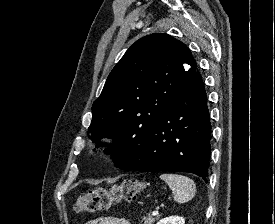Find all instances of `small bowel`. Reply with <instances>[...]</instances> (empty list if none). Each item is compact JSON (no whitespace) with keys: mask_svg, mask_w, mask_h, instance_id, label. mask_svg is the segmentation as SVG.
<instances>
[{"mask_svg":"<svg viewBox=\"0 0 275 224\" xmlns=\"http://www.w3.org/2000/svg\"><path fill=\"white\" fill-rule=\"evenodd\" d=\"M87 224H130L125 218L117 216H103L87 222Z\"/></svg>","mask_w":275,"mask_h":224,"instance_id":"c3829d8e","label":"small bowel"}]
</instances>
